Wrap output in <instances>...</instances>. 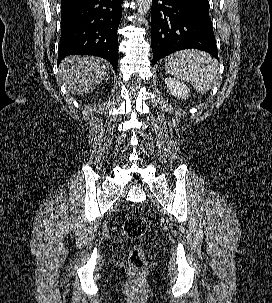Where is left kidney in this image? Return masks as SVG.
<instances>
[{
	"label": "left kidney",
	"mask_w": 272,
	"mask_h": 303,
	"mask_svg": "<svg viewBox=\"0 0 272 303\" xmlns=\"http://www.w3.org/2000/svg\"><path fill=\"white\" fill-rule=\"evenodd\" d=\"M165 84L174 97H177L178 99L188 98L190 90L187 85H185L181 81L169 77L165 78Z\"/></svg>",
	"instance_id": "5707ae66"
}]
</instances>
